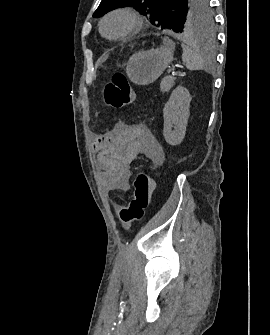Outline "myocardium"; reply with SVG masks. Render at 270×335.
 I'll use <instances>...</instances> for the list:
<instances>
[{"label": "myocardium", "mask_w": 270, "mask_h": 335, "mask_svg": "<svg viewBox=\"0 0 270 335\" xmlns=\"http://www.w3.org/2000/svg\"><path fill=\"white\" fill-rule=\"evenodd\" d=\"M114 16H123L127 19H129L132 23L131 28L124 34L117 36V37H110L105 33V24L109 19H111ZM144 19L135 11L128 9V8H120L111 11L109 14H107L100 24V31L104 37L110 40H122L126 39L128 37H131L132 35L136 34L138 31H140L144 26ZM131 78H144V77H131Z\"/></svg>", "instance_id": "1"}]
</instances>
